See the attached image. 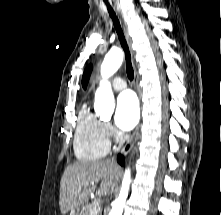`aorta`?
<instances>
[{"label":"aorta","instance_id":"1","mask_svg":"<svg viewBox=\"0 0 221 215\" xmlns=\"http://www.w3.org/2000/svg\"><path fill=\"white\" fill-rule=\"evenodd\" d=\"M123 62V52L120 48L114 47L105 55L101 64V76L99 88L95 93L94 109L97 114L106 116L114 109V95L108 78L111 77ZM131 181L130 169L125 170L120 193L112 204L109 215H122L123 208L128 196Z\"/></svg>","mask_w":221,"mask_h":215}]
</instances>
